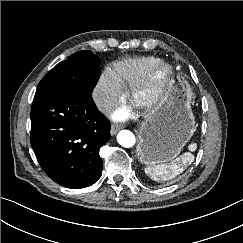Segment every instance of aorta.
I'll return each instance as SVG.
<instances>
[{"instance_id":"1","label":"aorta","mask_w":243,"mask_h":243,"mask_svg":"<svg viewBox=\"0 0 243 243\" xmlns=\"http://www.w3.org/2000/svg\"><path fill=\"white\" fill-rule=\"evenodd\" d=\"M117 141L121 146L125 148H130L134 146L136 139L135 135L131 131L122 130L117 135Z\"/></svg>"}]
</instances>
